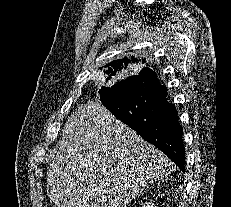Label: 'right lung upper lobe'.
<instances>
[{
	"instance_id": "cb5924a9",
	"label": "right lung upper lobe",
	"mask_w": 231,
	"mask_h": 207,
	"mask_svg": "<svg viewBox=\"0 0 231 207\" xmlns=\"http://www.w3.org/2000/svg\"><path fill=\"white\" fill-rule=\"evenodd\" d=\"M135 61V59L132 57V62ZM131 66V60L124 58V59H118L110 62L109 64H106V73L109 74V77L107 78L110 79L112 76H118L122 74L123 70L129 69Z\"/></svg>"
}]
</instances>
